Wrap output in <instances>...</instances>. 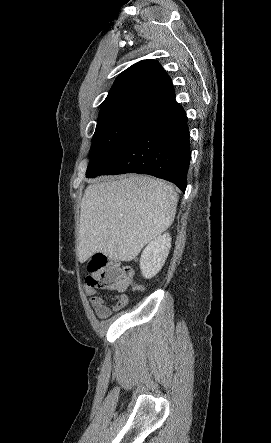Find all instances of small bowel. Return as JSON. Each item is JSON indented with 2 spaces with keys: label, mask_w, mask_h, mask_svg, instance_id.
<instances>
[{
  "label": "small bowel",
  "mask_w": 271,
  "mask_h": 443,
  "mask_svg": "<svg viewBox=\"0 0 271 443\" xmlns=\"http://www.w3.org/2000/svg\"><path fill=\"white\" fill-rule=\"evenodd\" d=\"M84 292L90 296V304L100 319H105L109 317L113 311H118L126 306L127 304V297L126 296H119L116 298V302L113 306H109L106 301L97 294L95 288H92L88 286L87 284L83 285Z\"/></svg>",
  "instance_id": "1"
}]
</instances>
